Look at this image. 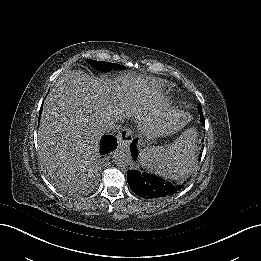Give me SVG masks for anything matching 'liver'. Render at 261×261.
<instances>
[{"instance_id": "6515ba94", "label": "liver", "mask_w": 261, "mask_h": 261, "mask_svg": "<svg viewBox=\"0 0 261 261\" xmlns=\"http://www.w3.org/2000/svg\"><path fill=\"white\" fill-rule=\"evenodd\" d=\"M138 94L125 84L74 70L55 82L43 105L38 131L39 162L57 185L89 172L96 162L104 126L134 116L146 126ZM159 128L157 133L166 132Z\"/></svg>"}]
</instances>
